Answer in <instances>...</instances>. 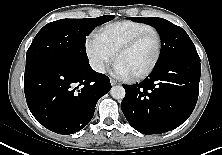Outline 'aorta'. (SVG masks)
I'll use <instances>...</instances> for the list:
<instances>
[{"label": "aorta", "instance_id": "obj_1", "mask_svg": "<svg viewBox=\"0 0 222 155\" xmlns=\"http://www.w3.org/2000/svg\"><path fill=\"white\" fill-rule=\"evenodd\" d=\"M111 96L114 99L120 100L125 97V89L123 86H113L110 90Z\"/></svg>", "mask_w": 222, "mask_h": 155}]
</instances>
